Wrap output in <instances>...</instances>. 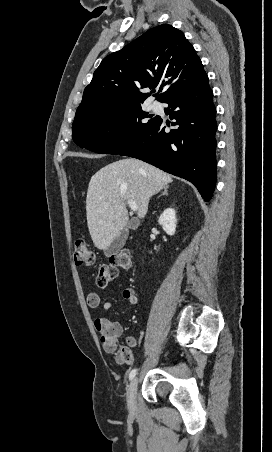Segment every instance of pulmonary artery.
Segmentation results:
<instances>
[{"label": "pulmonary artery", "mask_w": 272, "mask_h": 452, "mask_svg": "<svg viewBox=\"0 0 272 452\" xmlns=\"http://www.w3.org/2000/svg\"><path fill=\"white\" fill-rule=\"evenodd\" d=\"M151 107L155 111H157V110H159L161 108V106H160V104L158 102L152 103Z\"/></svg>", "instance_id": "obj_1"}]
</instances>
